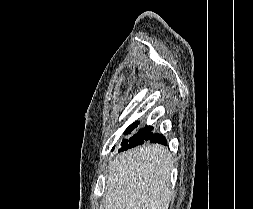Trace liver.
I'll return each mask as SVG.
<instances>
[{
	"label": "liver",
	"mask_w": 253,
	"mask_h": 209,
	"mask_svg": "<svg viewBox=\"0 0 253 209\" xmlns=\"http://www.w3.org/2000/svg\"><path fill=\"white\" fill-rule=\"evenodd\" d=\"M173 161L162 145H143L110 161L104 209H168Z\"/></svg>",
	"instance_id": "obj_1"
}]
</instances>
